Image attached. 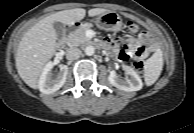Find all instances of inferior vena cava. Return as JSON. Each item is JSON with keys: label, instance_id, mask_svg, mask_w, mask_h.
<instances>
[{"label": "inferior vena cava", "instance_id": "1", "mask_svg": "<svg viewBox=\"0 0 194 133\" xmlns=\"http://www.w3.org/2000/svg\"><path fill=\"white\" fill-rule=\"evenodd\" d=\"M82 55V52L80 49L76 47H71L67 49L66 57L68 60H77Z\"/></svg>", "mask_w": 194, "mask_h": 133}]
</instances>
